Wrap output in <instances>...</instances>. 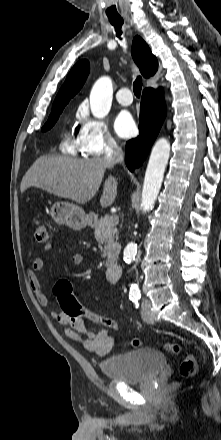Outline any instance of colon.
Wrapping results in <instances>:
<instances>
[{"label":"colon","instance_id":"1","mask_svg":"<svg viewBox=\"0 0 221 440\" xmlns=\"http://www.w3.org/2000/svg\"><path fill=\"white\" fill-rule=\"evenodd\" d=\"M35 239L38 243L48 245L50 236L46 226L40 221H35L33 225ZM53 292L57 297L59 309L62 315H67L68 321H77L79 318H85L86 321H94L96 324H102L103 329H115L120 332L123 326L117 318L111 315H102L100 312H88L84 309L83 303H80L77 297H73L72 285L68 280H60L54 286ZM129 344L133 347L141 345L139 339H132ZM163 348L171 354H180L182 349L176 343H165ZM197 364L193 355L188 354L180 364L179 372L184 378L192 377L196 374Z\"/></svg>","mask_w":221,"mask_h":440}]
</instances>
